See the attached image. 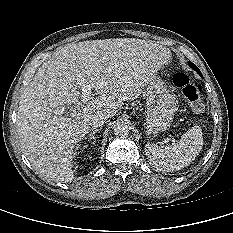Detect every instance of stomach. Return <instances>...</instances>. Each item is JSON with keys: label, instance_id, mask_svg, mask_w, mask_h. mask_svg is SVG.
I'll return each mask as SVG.
<instances>
[{"label": "stomach", "instance_id": "0dacf381", "mask_svg": "<svg viewBox=\"0 0 233 233\" xmlns=\"http://www.w3.org/2000/svg\"><path fill=\"white\" fill-rule=\"evenodd\" d=\"M148 84L145 126L148 133L162 132L173 121L176 111L174 97L161 78L155 76Z\"/></svg>", "mask_w": 233, "mask_h": 233}]
</instances>
